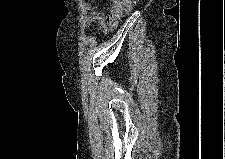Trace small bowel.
Wrapping results in <instances>:
<instances>
[{"mask_svg":"<svg viewBox=\"0 0 225 159\" xmlns=\"http://www.w3.org/2000/svg\"><path fill=\"white\" fill-rule=\"evenodd\" d=\"M100 3H84V9L87 11L86 16L83 19V30L85 34L89 33V28L93 23H97L104 31H107V26L103 19V15L99 10Z\"/></svg>","mask_w":225,"mask_h":159,"instance_id":"c3829d8e","label":"small bowel"}]
</instances>
